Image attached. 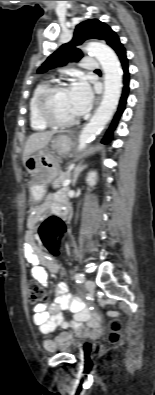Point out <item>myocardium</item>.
Returning <instances> with one entry per match:
<instances>
[{"label": "myocardium", "mask_w": 155, "mask_h": 395, "mask_svg": "<svg viewBox=\"0 0 155 395\" xmlns=\"http://www.w3.org/2000/svg\"><path fill=\"white\" fill-rule=\"evenodd\" d=\"M68 89L65 83H56L47 86L38 96L36 102V110L39 118L47 125L54 127H71L77 123V118L69 121H61L56 119L50 111V103L53 96L63 90Z\"/></svg>", "instance_id": "1"}]
</instances>
